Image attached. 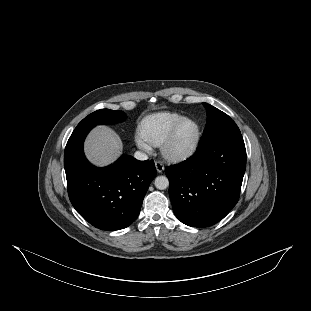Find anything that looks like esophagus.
Listing matches in <instances>:
<instances>
[{
  "mask_svg": "<svg viewBox=\"0 0 311 311\" xmlns=\"http://www.w3.org/2000/svg\"><path fill=\"white\" fill-rule=\"evenodd\" d=\"M155 167L158 173H163L165 166L161 161H155Z\"/></svg>",
  "mask_w": 311,
  "mask_h": 311,
  "instance_id": "esophagus-1",
  "label": "esophagus"
}]
</instances>
